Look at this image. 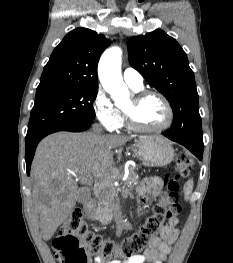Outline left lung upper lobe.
Returning <instances> with one entry per match:
<instances>
[{
	"label": "left lung upper lobe",
	"mask_w": 233,
	"mask_h": 263,
	"mask_svg": "<svg viewBox=\"0 0 233 263\" xmlns=\"http://www.w3.org/2000/svg\"><path fill=\"white\" fill-rule=\"evenodd\" d=\"M133 68L170 102L174 120L169 136L204 148L194 73L178 42L162 30L128 41Z\"/></svg>",
	"instance_id": "1"
}]
</instances>
